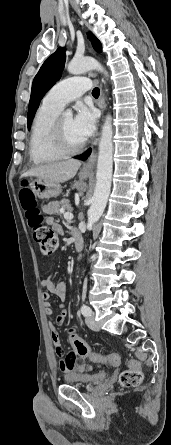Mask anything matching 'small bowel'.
<instances>
[{"label":"small bowel","mask_w":171,"mask_h":445,"mask_svg":"<svg viewBox=\"0 0 171 445\" xmlns=\"http://www.w3.org/2000/svg\"><path fill=\"white\" fill-rule=\"evenodd\" d=\"M58 208V205L56 203H47L44 205L43 209L48 214H53L56 212ZM47 222L56 230H60V225L54 221L52 217L47 218ZM75 235L76 232H74ZM42 287H44L47 291L43 293L42 297L44 300V307H45V313L47 315H52L53 313V305L50 301V295H55L61 300H64L66 298L67 294V286L64 282H55L52 276H48L41 282ZM57 309L59 311V314L57 315L56 319L53 322L49 323L50 332H51V339L53 341L56 354L60 358L59 361V367L60 370L63 373H69L74 371L76 367V359H75V351L65 354L62 346H61V340H60V334L58 331V327L61 326L65 320V317L67 316V309L63 304H60L57 306ZM74 350V349H73ZM118 361L113 364L116 366L119 362V356L115 353H113Z\"/></svg>","instance_id":"obj_1"}]
</instances>
